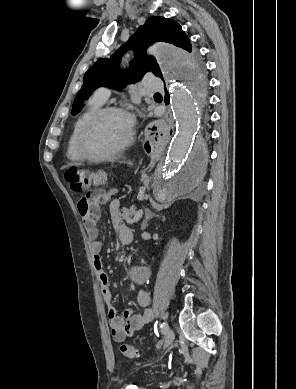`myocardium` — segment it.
<instances>
[{"label":"myocardium","instance_id":"f54148a6","mask_svg":"<svg viewBox=\"0 0 296 389\" xmlns=\"http://www.w3.org/2000/svg\"><path fill=\"white\" fill-rule=\"evenodd\" d=\"M109 114H123L126 115L130 120V129L129 134L126 138V140L120 144L115 149L102 153V154H93L89 151L87 146V139L89 136L90 131L94 127V125L103 117ZM135 138V127L134 122L131 116L128 114V112L117 106H106L100 108L97 112H95L82 126L79 137H78V150L82 158L89 160V161H102L110 158H114L120 154H122L126 149H128Z\"/></svg>","mask_w":296,"mask_h":389}]
</instances>
